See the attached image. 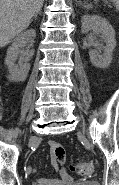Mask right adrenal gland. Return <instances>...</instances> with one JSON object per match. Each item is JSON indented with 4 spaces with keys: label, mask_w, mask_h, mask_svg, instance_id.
<instances>
[{
    "label": "right adrenal gland",
    "mask_w": 119,
    "mask_h": 185,
    "mask_svg": "<svg viewBox=\"0 0 119 185\" xmlns=\"http://www.w3.org/2000/svg\"><path fill=\"white\" fill-rule=\"evenodd\" d=\"M38 14H41V12L36 13V14L34 15V19L37 18V15H38Z\"/></svg>",
    "instance_id": "right-adrenal-gland-1"
}]
</instances>
